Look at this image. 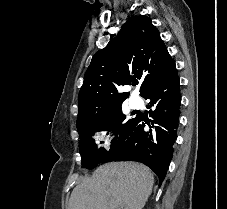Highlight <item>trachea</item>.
I'll use <instances>...</instances> for the list:
<instances>
[{
    "instance_id": "trachea-1",
    "label": "trachea",
    "mask_w": 227,
    "mask_h": 209,
    "mask_svg": "<svg viewBox=\"0 0 227 209\" xmlns=\"http://www.w3.org/2000/svg\"><path fill=\"white\" fill-rule=\"evenodd\" d=\"M133 84H134V85H137V84H138V81L133 82Z\"/></svg>"
}]
</instances>
